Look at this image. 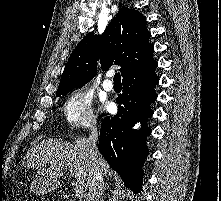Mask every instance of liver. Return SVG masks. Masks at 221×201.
Instances as JSON below:
<instances>
[{"instance_id":"liver-1","label":"liver","mask_w":221,"mask_h":201,"mask_svg":"<svg viewBox=\"0 0 221 201\" xmlns=\"http://www.w3.org/2000/svg\"><path fill=\"white\" fill-rule=\"evenodd\" d=\"M24 164L28 168H36L37 173L50 180L54 185L59 184L64 169L72 170L71 174L84 189L89 188L92 177V165L88 140L77 138L75 142H64L57 139L41 141L29 150L24 157ZM99 164L102 175L107 177L110 168L105 159L99 154Z\"/></svg>"}]
</instances>
